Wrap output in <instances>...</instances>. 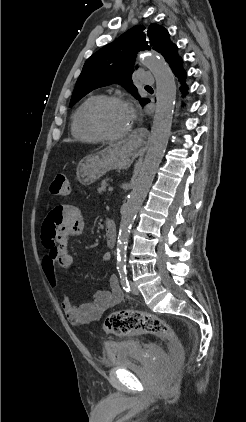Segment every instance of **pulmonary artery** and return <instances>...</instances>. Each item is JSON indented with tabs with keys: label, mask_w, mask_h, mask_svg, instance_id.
<instances>
[{
	"label": "pulmonary artery",
	"mask_w": 246,
	"mask_h": 422,
	"mask_svg": "<svg viewBox=\"0 0 246 422\" xmlns=\"http://www.w3.org/2000/svg\"><path fill=\"white\" fill-rule=\"evenodd\" d=\"M140 81L145 85H152L154 83V76L148 71L140 73Z\"/></svg>",
	"instance_id": "obj_1"
}]
</instances>
